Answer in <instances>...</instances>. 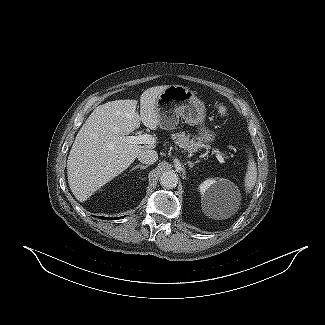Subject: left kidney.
I'll return each instance as SVG.
<instances>
[{"mask_svg":"<svg viewBox=\"0 0 325 325\" xmlns=\"http://www.w3.org/2000/svg\"><path fill=\"white\" fill-rule=\"evenodd\" d=\"M233 184L227 179H207L199 186L203 203H210L217 207H223V201L230 195Z\"/></svg>","mask_w":325,"mask_h":325,"instance_id":"obj_1","label":"left kidney"}]
</instances>
